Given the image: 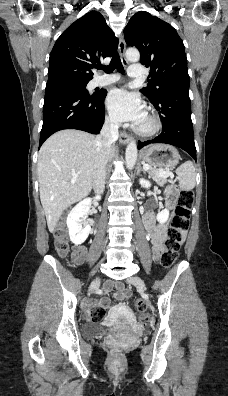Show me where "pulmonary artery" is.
Returning <instances> with one entry per match:
<instances>
[{
    "instance_id": "e3ab8cb5",
    "label": "pulmonary artery",
    "mask_w": 228,
    "mask_h": 396,
    "mask_svg": "<svg viewBox=\"0 0 228 396\" xmlns=\"http://www.w3.org/2000/svg\"><path fill=\"white\" fill-rule=\"evenodd\" d=\"M128 75L132 78H141L144 75V71L142 68L138 65H131L128 69ZM118 75H103V76H97L93 80V85L94 86H104L108 84L115 83L119 80Z\"/></svg>"
}]
</instances>
